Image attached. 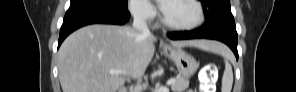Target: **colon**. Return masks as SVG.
Segmentation results:
<instances>
[{
  "instance_id": "1",
  "label": "colon",
  "mask_w": 296,
  "mask_h": 92,
  "mask_svg": "<svg viewBox=\"0 0 296 92\" xmlns=\"http://www.w3.org/2000/svg\"><path fill=\"white\" fill-rule=\"evenodd\" d=\"M217 74L215 65H208L204 67L200 74V82L203 86V91H211L209 87L214 83Z\"/></svg>"
}]
</instances>
